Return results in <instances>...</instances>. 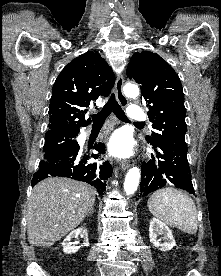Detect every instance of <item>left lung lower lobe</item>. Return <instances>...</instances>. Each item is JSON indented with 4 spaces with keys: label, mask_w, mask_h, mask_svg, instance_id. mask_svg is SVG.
I'll return each mask as SVG.
<instances>
[{
    "label": "left lung lower lobe",
    "mask_w": 221,
    "mask_h": 276,
    "mask_svg": "<svg viewBox=\"0 0 221 276\" xmlns=\"http://www.w3.org/2000/svg\"><path fill=\"white\" fill-rule=\"evenodd\" d=\"M154 150L157 159L143 162L141 166L140 197L165 185H173L195 194L187 160L188 150L164 142L155 144Z\"/></svg>",
    "instance_id": "left-lung-lower-lobe-1"
}]
</instances>
